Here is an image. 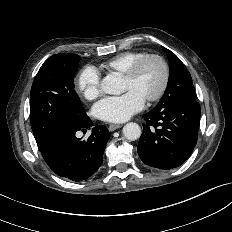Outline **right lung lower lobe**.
Instances as JSON below:
<instances>
[{
	"label": "right lung lower lobe",
	"instance_id": "right-lung-lower-lobe-1",
	"mask_svg": "<svg viewBox=\"0 0 232 232\" xmlns=\"http://www.w3.org/2000/svg\"><path fill=\"white\" fill-rule=\"evenodd\" d=\"M91 126L89 117L79 124H63L41 151L58 176L79 182L91 177L101 166L110 136L108 129L103 125L96 126L87 140L75 136L77 131H86Z\"/></svg>",
	"mask_w": 232,
	"mask_h": 232
}]
</instances>
